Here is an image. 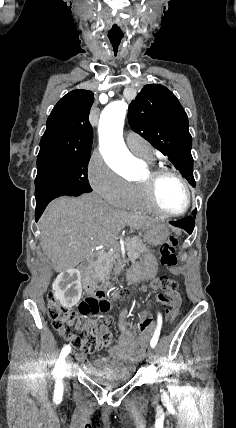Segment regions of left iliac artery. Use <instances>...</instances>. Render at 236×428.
I'll use <instances>...</instances> for the list:
<instances>
[{
    "mask_svg": "<svg viewBox=\"0 0 236 428\" xmlns=\"http://www.w3.org/2000/svg\"><path fill=\"white\" fill-rule=\"evenodd\" d=\"M157 321H158L157 328H156V330L154 332V335H153V337H152V339L150 341V345H151L152 348H154L156 346V344L158 342L159 335H160V330H161V325H162V317H161L160 314L158 315V320Z\"/></svg>",
    "mask_w": 236,
    "mask_h": 428,
    "instance_id": "obj_1",
    "label": "left iliac artery"
}]
</instances>
